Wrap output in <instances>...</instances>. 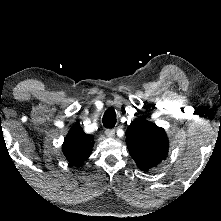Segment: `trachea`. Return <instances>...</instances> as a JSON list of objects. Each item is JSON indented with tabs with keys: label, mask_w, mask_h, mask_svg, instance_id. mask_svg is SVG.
I'll use <instances>...</instances> for the list:
<instances>
[{
	"label": "trachea",
	"mask_w": 221,
	"mask_h": 221,
	"mask_svg": "<svg viewBox=\"0 0 221 221\" xmlns=\"http://www.w3.org/2000/svg\"><path fill=\"white\" fill-rule=\"evenodd\" d=\"M102 122L105 128H113L115 126L116 113L114 109L110 108L105 111Z\"/></svg>",
	"instance_id": "1"
}]
</instances>
